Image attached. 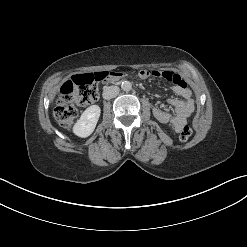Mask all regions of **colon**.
<instances>
[{"label":"colon","instance_id":"5ec220e1","mask_svg":"<svg viewBox=\"0 0 247 247\" xmlns=\"http://www.w3.org/2000/svg\"><path fill=\"white\" fill-rule=\"evenodd\" d=\"M112 73L97 72L78 74L67 80L60 89L54 115L64 128L70 129L78 114V108L95 102L99 96V83L109 79ZM192 135L189 126H183L179 132L181 141H187Z\"/></svg>","mask_w":247,"mask_h":247}]
</instances>
